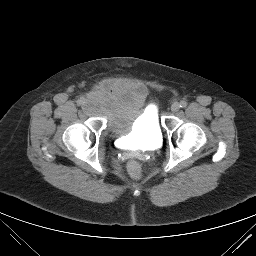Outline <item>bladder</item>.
<instances>
[{"mask_svg":"<svg viewBox=\"0 0 256 256\" xmlns=\"http://www.w3.org/2000/svg\"><path fill=\"white\" fill-rule=\"evenodd\" d=\"M106 118L107 130L128 144L153 147L162 140V127L154 103L142 85L120 84L96 89L89 98Z\"/></svg>","mask_w":256,"mask_h":256,"instance_id":"obj_1","label":"bladder"}]
</instances>
